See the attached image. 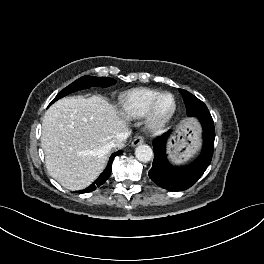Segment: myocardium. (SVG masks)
<instances>
[{
  "instance_id": "obj_1",
  "label": "myocardium",
  "mask_w": 264,
  "mask_h": 264,
  "mask_svg": "<svg viewBox=\"0 0 264 264\" xmlns=\"http://www.w3.org/2000/svg\"><path fill=\"white\" fill-rule=\"evenodd\" d=\"M172 99V107L165 113L160 112V104L166 98ZM177 109L176 99L171 93H162L152 103L148 113L146 114V127L153 133L161 131L173 118Z\"/></svg>"
}]
</instances>
